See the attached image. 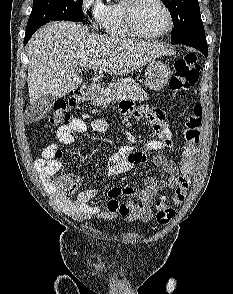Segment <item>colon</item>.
Returning a JSON list of instances; mask_svg holds the SVG:
<instances>
[{
	"instance_id": "1",
	"label": "colon",
	"mask_w": 233,
	"mask_h": 294,
	"mask_svg": "<svg viewBox=\"0 0 233 294\" xmlns=\"http://www.w3.org/2000/svg\"><path fill=\"white\" fill-rule=\"evenodd\" d=\"M199 78V66L196 64V55L187 53L176 60L174 64V73L170 79V89L174 93L189 90L196 84ZM203 119V108L201 103L196 100L187 116L184 129L183 140L184 146L180 160V174L178 176V185L172 196L174 205H181L188 194L192 176L194 173L197 145L200 139V129ZM72 114L65 103H58L51 116L48 124L51 126H65L71 123ZM79 178L72 174L62 175L57 179L59 192L69 197L77 189ZM156 221L159 224L169 223L175 216L174 207L167 204L163 199L156 203Z\"/></svg>"
}]
</instances>
